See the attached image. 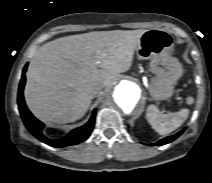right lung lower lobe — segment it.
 I'll return each mask as SVG.
<instances>
[{"label":"right lung lower lobe","mask_w":212,"mask_h":183,"mask_svg":"<svg viewBox=\"0 0 212 183\" xmlns=\"http://www.w3.org/2000/svg\"><path fill=\"white\" fill-rule=\"evenodd\" d=\"M27 69V64L25 65L23 69L22 78L19 84V92H18V106L19 111L21 114V117L23 119V122L26 126V128L30 131V133L35 136L40 141L44 142L45 144L52 146V147H66L70 145H75L80 142L85 141L91 134L94 124H95V111L93 112L90 120L88 123H86L84 126L79 127L71 131L68 135H66L64 138L59 140H52L47 138L43 132L42 129L44 127V124L40 122L38 119H36L29 109L27 108L24 97H23V88L25 85V71Z\"/></svg>","instance_id":"98d812e1"}]
</instances>
